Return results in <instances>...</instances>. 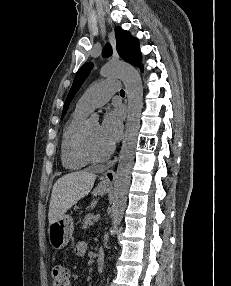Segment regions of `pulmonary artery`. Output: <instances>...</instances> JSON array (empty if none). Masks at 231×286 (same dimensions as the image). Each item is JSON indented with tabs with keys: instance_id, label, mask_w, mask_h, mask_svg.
Here are the masks:
<instances>
[{
	"instance_id": "1",
	"label": "pulmonary artery",
	"mask_w": 231,
	"mask_h": 286,
	"mask_svg": "<svg viewBox=\"0 0 231 286\" xmlns=\"http://www.w3.org/2000/svg\"><path fill=\"white\" fill-rule=\"evenodd\" d=\"M119 90L117 80H104L89 88L78 100L77 107L91 111L104 105Z\"/></svg>"
}]
</instances>
